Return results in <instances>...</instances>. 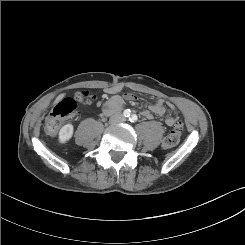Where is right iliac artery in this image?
<instances>
[{"mask_svg": "<svg viewBox=\"0 0 245 245\" xmlns=\"http://www.w3.org/2000/svg\"><path fill=\"white\" fill-rule=\"evenodd\" d=\"M130 114H131V111L129 109L125 110L124 113H123V115L125 117H130Z\"/></svg>", "mask_w": 245, "mask_h": 245, "instance_id": "1", "label": "right iliac artery"}]
</instances>
